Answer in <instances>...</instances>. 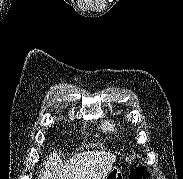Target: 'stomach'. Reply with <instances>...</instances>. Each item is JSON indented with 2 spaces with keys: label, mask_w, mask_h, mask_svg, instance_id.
<instances>
[{
  "label": "stomach",
  "mask_w": 183,
  "mask_h": 179,
  "mask_svg": "<svg viewBox=\"0 0 183 179\" xmlns=\"http://www.w3.org/2000/svg\"><path fill=\"white\" fill-rule=\"evenodd\" d=\"M105 179H123V174L117 167H112Z\"/></svg>",
  "instance_id": "obj_1"
}]
</instances>
